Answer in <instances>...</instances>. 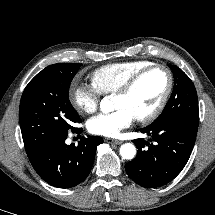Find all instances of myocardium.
I'll return each mask as SVG.
<instances>
[{
	"label": "myocardium",
	"instance_id": "f54148a6",
	"mask_svg": "<svg viewBox=\"0 0 215 215\" xmlns=\"http://www.w3.org/2000/svg\"><path fill=\"white\" fill-rule=\"evenodd\" d=\"M154 70H162L166 73L168 83L166 90L160 99L159 103L156 105V107L149 112L146 115L136 117L135 119L140 123H150L154 121L164 110L165 106L168 103V100L171 96L173 87H174V77L172 71L165 65L162 64H152L136 74H134L132 77H130L125 84L116 92V95L126 96L132 92V90L135 88V86L139 83V81L145 77L147 74Z\"/></svg>",
	"mask_w": 215,
	"mask_h": 215
}]
</instances>
